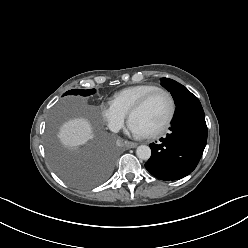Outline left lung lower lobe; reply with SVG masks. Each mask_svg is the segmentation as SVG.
Returning a JSON list of instances; mask_svg holds the SVG:
<instances>
[{"label":"left lung lower lobe","mask_w":248,"mask_h":248,"mask_svg":"<svg viewBox=\"0 0 248 248\" xmlns=\"http://www.w3.org/2000/svg\"><path fill=\"white\" fill-rule=\"evenodd\" d=\"M170 133L160 143L150 144L152 155L145 163L155 177L169 181L182 179L197 166L207 142L205 115L198 98L187 94L176 105Z\"/></svg>","instance_id":"0a47b994"}]
</instances>
